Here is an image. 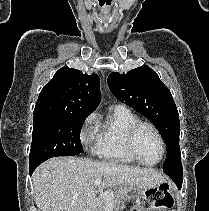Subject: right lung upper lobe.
Instances as JSON below:
<instances>
[{
  "label": "right lung upper lobe",
  "instance_id": "cb5924a9",
  "mask_svg": "<svg viewBox=\"0 0 209 211\" xmlns=\"http://www.w3.org/2000/svg\"><path fill=\"white\" fill-rule=\"evenodd\" d=\"M100 102V79L73 68L59 69L39 94L34 118L89 115Z\"/></svg>",
  "mask_w": 209,
  "mask_h": 211
}]
</instances>
